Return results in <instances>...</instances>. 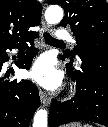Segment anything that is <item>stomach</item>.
I'll return each instance as SVG.
<instances>
[{"instance_id": "stomach-1", "label": "stomach", "mask_w": 108, "mask_h": 127, "mask_svg": "<svg viewBox=\"0 0 108 127\" xmlns=\"http://www.w3.org/2000/svg\"><path fill=\"white\" fill-rule=\"evenodd\" d=\"M63 127H84V126H82V124L79 123V122H73V123H70V124H66Z\"/></svg>"}]
</instances>
